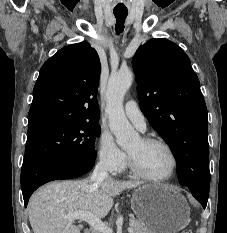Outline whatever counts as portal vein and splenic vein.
<instances>
[{
	"mask_svg": "<svg viewBox=\"0 0 227 233\" xmlns=\"http://www.w3.org/2000/svg\"><path fill=\"white\" fill-rule=\"evenodd\" d=\"M65 218L69 221L72 220H83L88 222L92 228L95 230L102 232V233H113L112 229L108 227L105 223H103L100 218L94 216L90 212H73L70 214L65 215ZM129 232H133V229L130 227L128 228Z\"/></svg>",
	"mask_w": 227,
	"mask_h": 233,
	"instance_id": "18ae733b",
	"label": "portal vein and splenic vein"
}]
</instances>
